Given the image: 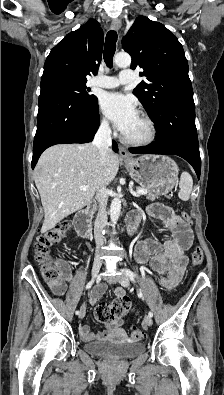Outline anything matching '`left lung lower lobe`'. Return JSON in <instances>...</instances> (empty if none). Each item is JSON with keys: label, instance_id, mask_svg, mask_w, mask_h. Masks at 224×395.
Returning a JSON list of instances; mask_svg holds the SVG:
<instances>
[{"label": "left lung lower lobe", "instance_id": "left-lung-lower-lobe-1", "mask_svg": "<svg viewBox=\"0 0 224 395\" xmlns=\"http://www.w3.org/2000/svg\"><path fill=\"white\" fill-rule=\"evenodd\" d=\"M157 141L150 146L129 149L131 153L178 155L188 161L200 178L201 159L195 126L194 101L166 105L153 118Z\"/></svg>", "mask_w": 224, "mask_h": 395}]
</instances>
